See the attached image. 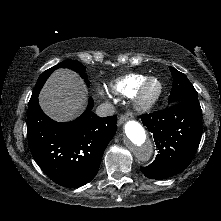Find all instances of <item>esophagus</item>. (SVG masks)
Segmentation results:
<instances>
[{
	"instance_id": "1",
	"label": "esophagus",
	"mask_w": 221,
	"mask_h": 221,
	"mask_svg": "<svg viewBox=\"0 0 221 221\" xmlns=\"http://www.w3.org/2000/svg\"><path fill=\"white\" fill-rule=\"evenodd\" d=\"M132 116L130 112H127L126 114H123L118 119V126L122 125L127 119H129Z\"/></svg>"
}]
</instances>
